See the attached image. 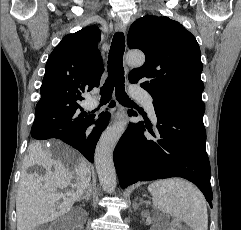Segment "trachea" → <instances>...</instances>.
<instances>
[{
  "label": "trachea",
  "instance_id": "obj_1",
  "mask_svg": "<svg viewBox=\"0 0 241 230\" xmlns=\"http://www.w3.org/2000/svg\"><path fill=\"white\" fill-rule=\"evenodd\" d=\"M125 50V37L122 32L114 34L108 56V77L100 89L101 102L110 101L114 87L117 100L121 103L134 104L125 92L123 54Z\"/></svg>",
  "mask_w": 241,
  "mask_h": 230
}]
</instances>
